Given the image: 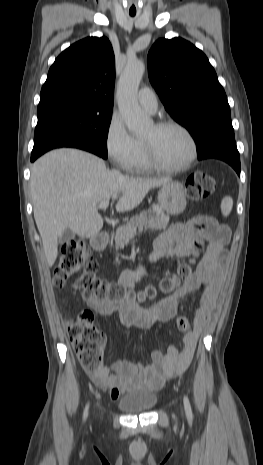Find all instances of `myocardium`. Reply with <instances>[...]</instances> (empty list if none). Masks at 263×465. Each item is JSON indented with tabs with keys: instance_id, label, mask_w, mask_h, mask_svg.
I'll use <instances>...</instances> for the list:
<instances>
[{
	"instance_id": "1",
	"label": "myocardium",
	"mask_w": 263,
	"mask_h": 465,
	"mask_svg": "<svg viewBox=\"0 0 263 465\" xmlns=\"http://www.w3.org/2000/svg\"><path fill=\"white\" fill-rule=\"evenodd\" d=\"M153 125L157 130H162L166 128H176L182 131L190 141L191 153L188 159L184 163L179 164V165H167L158 158L152 144L141 139V143H142V146L145 152L146 159L149 162V164L152 166V168L160 170V171H164V172H181V171H185L189 169L194 163V161L196 160L197 155H198V144L192 132L183 124L173 121V120H162V121H158L154 123Z\"/></svg>"
}]
</instances>
